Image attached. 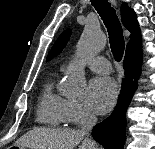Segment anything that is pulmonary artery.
Instances as JSON below:
<instances>
[{
	"label": "pulmonary artery",
	"mask_w": 155,
	"mask_h": 149,
	"mask_svg": "<svg viewBox=\"0 0 155 149\" xmlns=\"http://www.w3.org/2000/svg\"><path fill=\"white\" fill-rule=\"evenodd\" d=\"M85 64L90 70L99 74H109L111 72L110 62L104 57L91 58Z\"/></svg>",
	"instance_id": "e3ab8cb5"
}]
</instances>
